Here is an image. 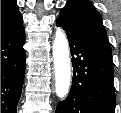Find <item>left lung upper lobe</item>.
<instances>
[{
  "mask_svg": "<svg viewBox=\"0 0 121 113\" xmlns=\"http://www.w3.org/2000/svg\"><path fill=\"white\" fill-rule=\"evenodd\" d=\"M61 18L69 27L99 45L112 56L101 15L86 0H68L60 12Z\"/></svg>",
  "mask_w": 121,
  "mask_h": 113,
  "instance_id": "1",
  "label": "left lung upper lobe"
}]
</instances>
